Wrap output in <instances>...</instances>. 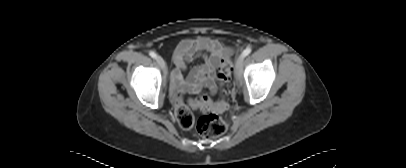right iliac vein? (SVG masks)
<instances>
[{
  "label": "right iliac vein",
  "mask_w": 406,
  "mask_h": 168,
  "mask_svg": "<svg viewBox=\"0 0 406 168\" xmlns=\"http://www.w3.org/2000/svg\"><path fill=\"white\" fill-rule=\"evenodd\" d=\"M156 60L159 64V66L164 70L166 65H165V61L163 60V58L161 56H157Z\"/></svg>",
  "instance_id": "1"
}]
</instances>
